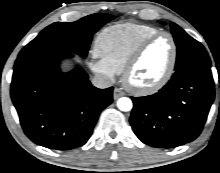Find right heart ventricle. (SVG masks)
<instances>
[{
    "mask_svg": "<svg viewBox=\"0 0 220 173\" xmlns=\"http://www.w3.org/2000/svg\"><path fill=\"white\" fill-rule=\"evenodd\" d=\"M159 29L137 23H121L103 29L97 36L95 52L116 74L123 71L125 64L138 44Z\"/></svg>",
    "mask_w": 220,
    "mask_h": 173,
    "instance_id": "e07e8e85",
    "label": "right heart ventricle"
}]
</instances>
